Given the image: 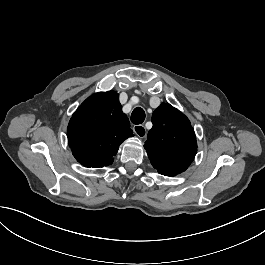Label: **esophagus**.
<instances>
[{
  "label": "esophagus",
  "mask_w": 265,
  "mask_h": 265,
  "mask_svg": "<svg viewBox=\"0 0 265 265\" xmlns=\"http://www.w3.org/2000/svg\"><path fill=\"white\" fill-rule=\"evenodd\" d=\"M133 131L141 139L145 138L147 135V130H146L145 126H143V125H134Z\"/></svg>",
  "instance_id": "34e87169"
}]
</instances>
